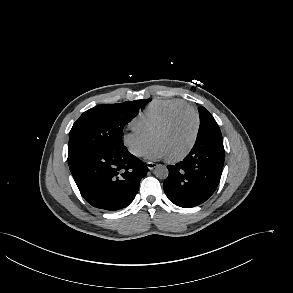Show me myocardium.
Returning a JSON list of instances; mask_svg holds the SVG:
<instances>
[{
  "mask_svg": "<svg viewBox=\"0 0 293 293\" xmlns=\"http://www.w3.org/2000/svg\"><path fill=\"white\" fill-rule=\"evenodd\" d=\"M187 113H191L195 118V130H194V135H193L192 141L189 144V146L187 147V149L185 151H183L181 154L174 156V157H167V160L170 162H179V161L185 159L194 149L196 142L198 140V136H199V132H200V125H201L200 115L197 112V110H195L192 107H186V108H182V109H179V110L173 112L164 122H162L155 129V131L151 135V140L154 141L155 137L158 134H160L161 132H163L164 130H166L179 116L187 114Z\"/></svg>",
  "mask_w": 293,
  "mask_h": 293,
  "instance_id": "f54148a6",
  "label": "myocardium"
}]
</instances>
